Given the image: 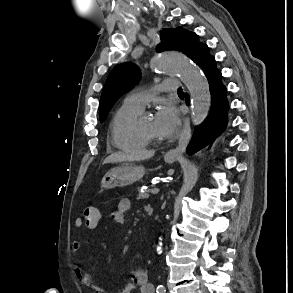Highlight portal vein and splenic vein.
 <instances>
[{
	"mask_svg": "<svg viewBox=\"0 0 293 293\" xmlns=\"http://www.w3.org/2000/svg\"><path fill=\"white\" fill-rule=\"evenodd\" d=\"M159 188H153L152 190H151V193L152 194H157V193H159Z\"/></svg>",
	"mask_w": 293,
	"mask_h": 293,
	"instance_id": "obj_1",
	"label": "portal vein and splenic vein"
}]
</instances>
